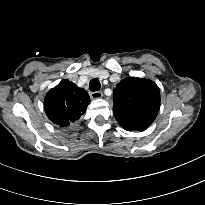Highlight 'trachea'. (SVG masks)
<instances>
[{
    "label": "trachea",
    "mask_w": 205,
    "mask_h": 205,
    "mask_svg": "<svg viewBox=\"0 0 205 205\" xmlns=\"http://www.w3.org/2000/svg\"><path fill=\"white\" fill-rule=\"evenodd\" d=\"M90 90L95 92L101 88V84L98 79L94 78L89 83Z\"/></svg>",
    "instance_id": "trachea-1"
}]
</instances>
